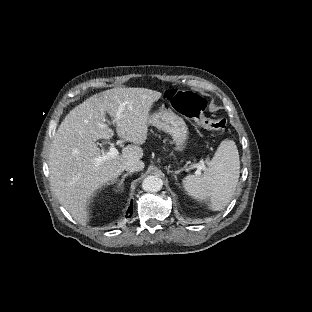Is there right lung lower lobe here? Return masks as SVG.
<instances>
[{"label":"right lung lower lobe","mask_w":312,"mask_h":312,"mask_svg":"<svg viewBox=\"0 0 312 312\" xmlns=\"http://www.w3.org/2000/svg\"><path fill=\"white\" fill-rule=\"evenodd\" d=\"M133 210V205L131 204L130 208H129V213H132Z\"/></svg>","instance_id":"98d812e1"}]
</instances>
